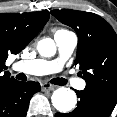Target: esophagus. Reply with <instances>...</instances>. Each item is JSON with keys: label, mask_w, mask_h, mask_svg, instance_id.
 Wrapping results in <instances>:
<instances>
[{"label": "esophagus", "mask_w": 117, "mask_h": 117, "mask_svg": "<svg viewBox=\"0 0 117 117\" xmlns=\"http://www.w3.org/2000/svg\"><path fill=\"white\" fill-rule=\"evenodd\" d=\"M56 88V86L49 84V83H43L41 85V90L42 91H52Z\"/></svg>", "instance_id": "1"}]
</instances>
